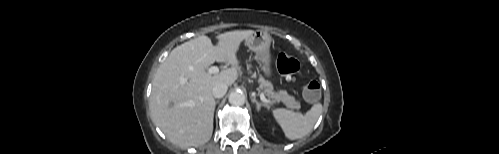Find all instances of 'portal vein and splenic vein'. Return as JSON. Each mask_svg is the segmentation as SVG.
<instances>
[{"mask_svg":"<svg viewBox=\"0 0 499 154\" xmlns=\"http://www.w3.org/2000/svg\"><path fill=\"white\" fill-rule=\"evenodd\" d=\"M218 72H219V68H218V67H216V66H212V67H210V68L208 69V73H210V74H216V73H218ZM260 98H261V100H262L263 102H265V103H271V101H270V100H268V99H266V98H265L264 94H261V97H260Z\"/></svg>","mask_w":499,"mask_h":154,"instance_id":"18ae733b","label":"portal vein and splenic vein"}]
</instances>
